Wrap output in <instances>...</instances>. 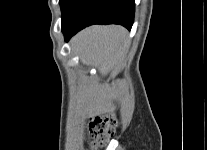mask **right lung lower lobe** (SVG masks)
<instances>
[{"label": "right lung lower lobe", "mask_w": 207, "mask_h": 150, "mask_svg": "<svg viewBox=\"0 0 207 150\" xmlns=\"http://www.w3.org/2000/svg\"><path fill=\"white\" fill-rule=\"evenodd\" d=\"M134 0H72L62 12V31L66 41L93 24H120L131 29Z\"/></svg>", "instance_id": "98d812e1"}]
</instances>
